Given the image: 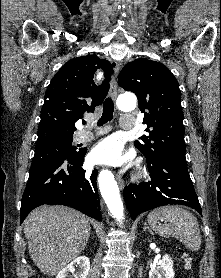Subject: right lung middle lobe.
<instances>
[{
    "instance_id": "1",
    "label": "right lung middle lobe",
    "mask_w": 221,
    "mask_h": 278,
    "mask_svg": "<svg viewBox=\"0 0 221 278\" xmlns=\"http://www.w3.org/2000/svg\"><path fill=\"white\" fill-rule=\"evenodd\" d=\"M73 136L50 140L36 144L30 171L55 160L76 156L79 152L72 146Z\"/></svg>"
}]
</instances>
